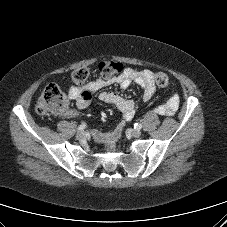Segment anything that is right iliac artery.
Here are the masks:
<instances>
[{"mask_svg":"<svg viewBox=\"0 0 227 227\" xmlns=\"http://www.w3.org/2000/svg\"><path fill=\"white\" fill-rule=\"evenodd\" d=\"M87 127L86 123H82L81 125H79L78 130L82 131Z\"/></svg>","mask_w":227,"mask_h":227,"instance_id":"right-iliac-artery-1","label":"right iliac artery"}]
</instances>
